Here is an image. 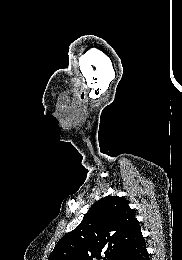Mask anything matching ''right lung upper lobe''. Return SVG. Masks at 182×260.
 I'll list each match as a JSON object with an SVG mask.
<instances>
[{
	"label": "right lung upper lobe",
	"mask_w": 182,
	"mask_h": 260,
	"mask_svg": "<svg viewBox=\"0 0 182 260\" xmlns=\"http://www.w3.org/2000/svg\"><path fill=\"white\" fill-rule=\"evenodd\" d=\"M143 240L126 199L106 196L91 206L76 229L57 242L48 260H119Z\"/></svg>",
	"instance_id": "1"
}]
</instances>
